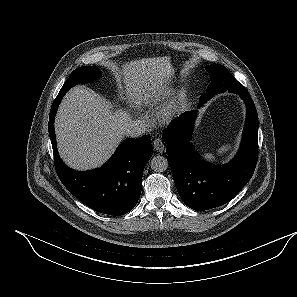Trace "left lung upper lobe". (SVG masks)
<instances>
[{"instance_id":"obj_1","label":"left lung upper lobe","mask_w":297,"mask_h":297,"mask_svg":"<svg viewBox=\"0 0 297 297\" xmlns=\"http://www.w3.org/2000/svg\"><path fill=\"white\" fill-rule=\"evenodd\" d=\"M206 70L210 75L211 84L208 86L207 92L202 94L200 99L206 100L219 92L227 90L234 93L247 91L226 67L222 65H210L206 66Z\"/></svg>"}]
</instances>
